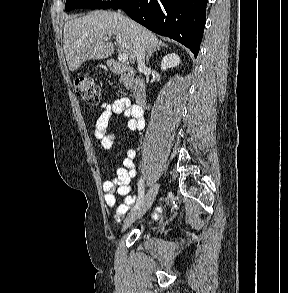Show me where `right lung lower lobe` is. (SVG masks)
<instances>
[{"label":"right lung lower lobe","mask_w":288,"mask_h":293,"mask_svg":"<svg viewBox=\"0 0 288 293\" xmlns=\"http://www.w3.org/2000/svg\"><path fill=\"white\" fill-rule=\"evenodd\" d=\"M208 0H121L113 9H123L151 31L170 37L199 52Z\"/></svg>","instance_id":"obj_1"}]
</instances>
